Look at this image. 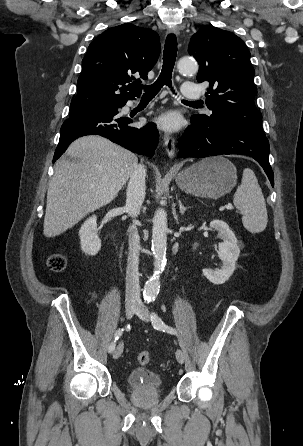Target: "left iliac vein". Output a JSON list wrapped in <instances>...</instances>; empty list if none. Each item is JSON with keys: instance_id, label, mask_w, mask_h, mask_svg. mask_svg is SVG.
Segmentation results:
<instances>
[{"instance_id": "obj_1", "label": "left iliac vein", "mask_w": 303, "mask_h": 446, "mask_svg": "<svg viewBox=\"0 0 303 446\" xmlns=\"http://www.w3.org/2000/svg\"><path fill=\"white\" fill-rule=\"evenodd\" d=\"M136 314L138 317H140L142 320L149 321L150 320V312L146 306L143 304H139L136 310ZM176 359L177 361L182 364L185 360V354L181 349H178L176 351Z\"/></svg>"}]
</instances>
